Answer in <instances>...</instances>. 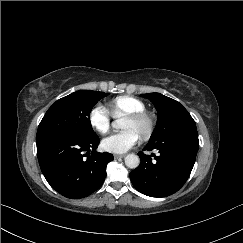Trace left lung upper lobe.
I'll use <instances>...</instances> for the list:
<instances>
[{
  "label": "left lung upper lobe",
  "instance_id": "obj_1",
  "mask_svg": "<svg viewBox=\"0 0 243 243\" xmlns=\"http://www.w3.org/2000/svg\"><path fill=\"white\" fill-rule=\"evenodd\" d=\"M141 96L150 99L157 109V124L149 143L173 136L186 128L196 127L191 115L178 101L160 93H148Z\"/></svg>",
  "mask_w": 243,
  "mask_h": 243
}]
</instances>
